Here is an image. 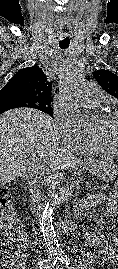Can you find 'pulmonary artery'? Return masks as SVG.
<instances>
[{"label":"pulmonary artery","mask_w":118,"mask_h":269,"mask_svg":"<svg viewBox=\"0 0 118 269\" xmlns=\"http://www.w3.org/2000/svg\"><path fill=\"white\" fill-rule=\"evenodd\" d=\"M103 94L94 82H88L83 87L80 102L87 107H99L103 101Z\"/></svg>","instance_id":"1"}]
</instances>
